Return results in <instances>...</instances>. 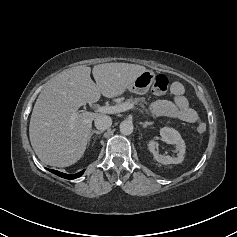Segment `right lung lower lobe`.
<instances>
[{"instance_id": "1", "label": "right lung lower lobe", "mask_w": 237, "mask_h": 237, "mask_svg": "<svg viewBox=\"0 0 237 237\" xmlns=\"http://www.w3.org/2000/svg\"><path fill=\"white\" fill-rule=\"evenodd\" d=\"M50 172L62 177V178H66V179H75V178H78L80 177L83 173H84V170L79 172V173H76L74 175H68V174H65V173H62V172H59V171H56V170H52V169H48Z\"/></svg>"}]
</instances>
